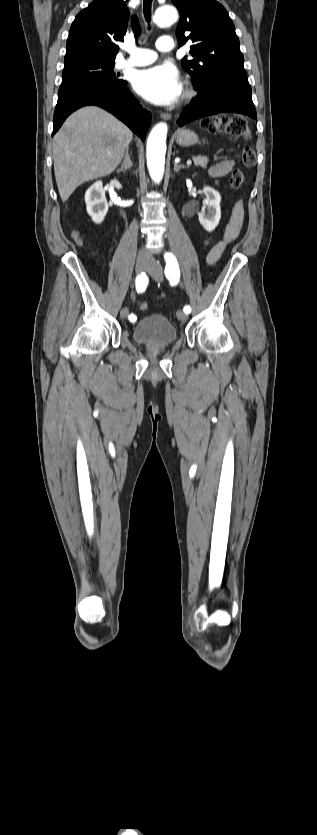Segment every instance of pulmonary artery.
I'll return each instance as SVG.
<instances>
[{"instance_id":"e3ab8cb5","label":"pulmonary artery","mask_w":317,"mask_h":835,"mask_svg":"<svg viewBox=\"0 0 317 835\" xmlns=\"http://www.w3.org/2000/svg\"><path fill=\"white\" fill-rule=\"evenodd\" d=\"M156 48L161 52H169L174 48V42L170 36H161L156 41ZM131 56L119 63V67L145 66L154 62L157 58L155 51L133 47L130 49Z\"/></svg>"}]
</instances>
